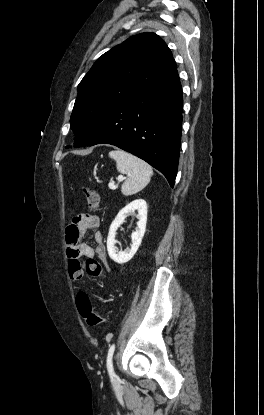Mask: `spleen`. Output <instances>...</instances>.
Here are the masks:
<instances>
[{"mask_svg":"<svg viewBox=\"0 0 264 415\" xmlns=\"http://www.w3.org/2000/svg\"><path fill=\"white\" fill-rule=\"evenodd\" d=\"M109 157L116 161L120 173L128 175L121 187L125 196L136 194L150 182L153 170L145 161L122 150L110 151Z\"/></svg>","mask_w":264,"mask_h":415,"instance_id":"obj_1","label":"spleen"}]
</instances>
